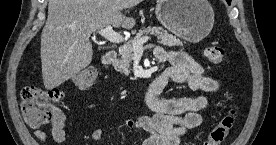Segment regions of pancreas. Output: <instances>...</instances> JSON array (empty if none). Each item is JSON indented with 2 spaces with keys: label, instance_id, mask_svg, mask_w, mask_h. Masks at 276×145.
I'll return each instance as SVG.
<instances>
[{
  "label": "pancreas",
  "instance_id": "1",
  "mask_svg": "<svg viewBox=\"0 0 276 145\" xmlns=\"http://www.w3.org/2000/svg\"><path fill=\"white\" fill-rule=\"evenodd\" d=\"M144 34H152L156 35L159 39V43L168 46V47H173V46H182V42L177 39L175 36L169 34L166 30H164L162 27H147L144 29H141L138 31L136 36L129 41L126 45L122 46L119 50V55L120 59H118L114 63V68L119 71L124 73L125 75H129L131 72L130 65L132 64L133 60V43L136 41H139Z\"/></svg>",
  "mask_w": 276,
  "mask_h": 145
}]
</instances>
